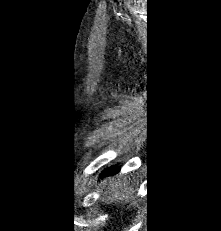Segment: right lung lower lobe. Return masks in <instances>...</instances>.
<instances>
[{
    "instance_id": "98d812e1",
    "label": "right lung lower lobe",
    "mask_w": 221,
    "mask_h": 231,
    "mask_svg": "<svg viewBox=\"0 0 221 231\" xmlns=\"http://www.w3.org/2000/svg\"><path fill=\"white\" fill-rule=\"evenodd\" d=\"M119 168L114 166V167H110L108 169H106L102 174H101V178L104 176H110V175H114L116 173H118Z\"/></svg>"
}]
</instances>
